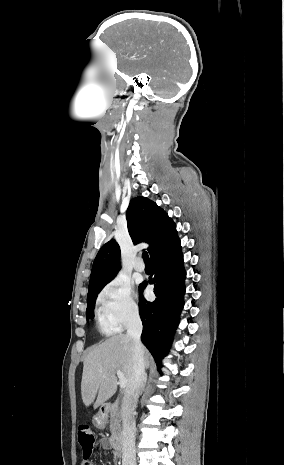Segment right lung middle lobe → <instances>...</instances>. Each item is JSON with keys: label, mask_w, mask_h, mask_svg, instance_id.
<instances>
[{"label": "right lung middle lobe", "mask_w": 284, "mask_h": 465, "mask_svg": "<svg viewBox=\"0 0 284 465\" xmlns=\"http://www.w3.org/2000/svg\"><path fill=\"white\" fill-rule=\"evenodd\" d=\"M99 292L100 291H98L95 294H92V295L88 296V298H87V309H86V317H87V319L92 318L94 316L95 301H96L97 294Z\"/></svg>", "instance_id": "dd1d6c3e"}]
</instances>
